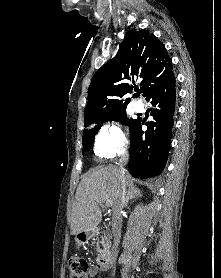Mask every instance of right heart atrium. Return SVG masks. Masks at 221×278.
<instances>
[{
  "mask_svg": "<svg viewBox=\"0 0 221 278\" xmlns=\"http://www.w3.org/2000/svg\"><path fill=\"white\" fill-rule=\"evenodd\" d=\"M128 140L120 126L112 121L105 123L98 131L94 141V153L99 158L110 159L123 153Z\"/></svg>",
  "mask_w": 221,
  "mask_h": 278,
  "instance_id": "1",
  "label": "right heart atrium"
}]
</instances>
